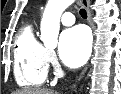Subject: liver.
<instances>
[{
	"label": "liver",
	"instance_id": "6515ba94",
	"mask_svg": "<svg viewBox=\"0 0 121 94\" xmlns=\"http://www.w3.org/2000/svg\"><path fill=\"white\" fill-rule=\"evenodd\" d=\"M15 94H58L56 91L48 89H25Z\"/></svg>",
	"mask_w": 121,
	"mask_h": 94
}]
</instances>
